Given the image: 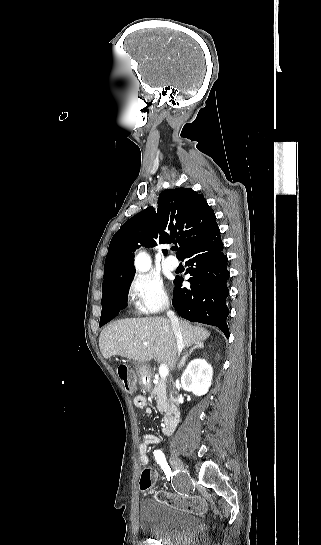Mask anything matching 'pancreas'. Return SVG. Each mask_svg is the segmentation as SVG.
<instances>
[{
	"instance_id": "cf45deb5",
	"label": "pancreas",
	"mask_w": 321,
	"mask_h": 545,
	"mask_svg": "<svg viewBox=\"0 0 321 545\" xmlns=\"http://www.w3.org/2000/svg\"><path fill=\"white\" fill-rule=\"evenodd\" d=\"M152 373L153 371L151 367H148L144 375H146V377H151ZM167 383V379H158V383H154L153 391L151 393V395H156L155 399H157V409L160 411V413H163V411L166 409L168 399Z\"/></svg>"
}]
</instances>
